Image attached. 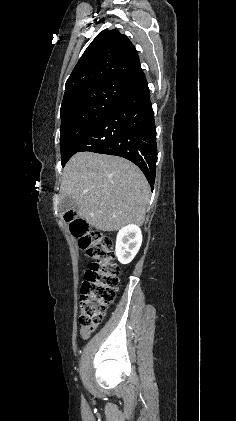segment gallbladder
I'll return each mask as SVG.
<instances>
[{
  "mask_svg": "<svg viewBox=\"0 0 236 421\" xmlns=\"http://www.w3.org/2000/svg\"><path fill=\"white\" fill-rule=\"evenodd\" d=\"M62 213H68V211H77L78 204L72 196H64L59 202Z\"/></svg>",
  "mask_w": 236,
  "mask_h": 421,
  "instance_id": "obj_1",
  "label": "gallbladder"
}]
</instances>
